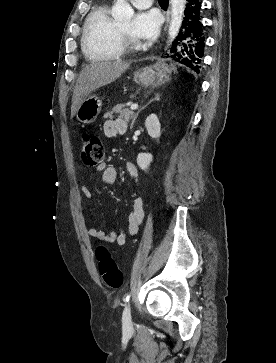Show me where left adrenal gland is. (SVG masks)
Returning a JSON list of instances; mask_svg holds the SVG:
<instances>
[{
	"label": "left adrenal gland",
	"mask_w": 276,
	"mask_h": 363,
	"mask_svg": "<svg viewBox=\"0 0 276 363\" xmlns=\"http://www.w3.org/2000/svg\"><path fill=\"white\" fill-rule=\"evenodd\" d=\"M160 98H159V95L158 94H156L155 95V98L154 99H152V100H150L144 107H142L136 114H135V116H134V118H133V120H132V123H131V126H130V128L132 129L133 128V125H134V122H135V120L137 119V117H138V115H139V113L143 110V109H145V107H147L150 103H152L153 101H158Z\"/></svg>",
	"instance_id": "a2214340"
}]
</instances>
